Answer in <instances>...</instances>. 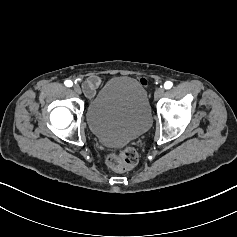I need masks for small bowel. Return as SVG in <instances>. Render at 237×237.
Masks as SVG:
<instances>
[{
	"instance_id": "small-bowel-1",
	"label": "small bowel",
	"mask_w": 237,
	"mask_h": 237,
	"mask_svg": "<svg viewBox=\"0 0 237 237\" xmlns=\"http://www.w3.org/2000/svg\"><path fill=\"white\" fill-rule=\"evenodd\" d=\"M141 83L143 85L147 84L146 79L141 78ZM101 78L99 76L96 75H92L90 77H88L86 79V81L84 82V92L88 97H92L96 90L99 88V86L101 85Z\"/></svg>"
}]
</instances>
